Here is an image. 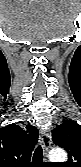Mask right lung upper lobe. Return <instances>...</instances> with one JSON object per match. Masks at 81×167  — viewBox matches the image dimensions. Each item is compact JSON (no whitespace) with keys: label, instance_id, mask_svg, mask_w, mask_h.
Listing matches in <instances>:
<instances>
[{"label":"right lung upper lobe","instance_id":"right-lung-upper-lobe-1","mask_svg":"<svg viewBox=\"0 0 81 167\" xmlns=\"http://www.w3.org/2000/svg\"><path fill=\"white\" fill-rule=\"evenodd\" d=\"M38 130L28 124L0 128V167H31V155L38 140Z\"/></svg>","mask_w":81,"mask_h":167}]
</instances>
